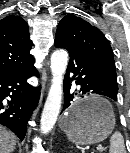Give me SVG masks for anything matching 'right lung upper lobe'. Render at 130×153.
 <instances>
[{"instance_id": "right-lung-upper-lobe-1", "label": "right lung upper lobe", "mask_w": 130, "mask_h": 153, "mask_svg": "<svg viewBox=\"0 0 130 153\" xmlns=\"http://www.w3.org/2000/svg\"><path fill=\"white\" fill-rule=\"evenodd\" d=\"M28 25L20 16L9 15L0 20V74L33 66L34 57Z\"/></svg>"}]
</instances>
